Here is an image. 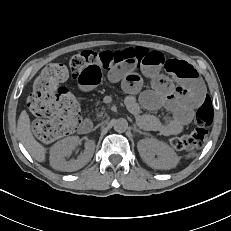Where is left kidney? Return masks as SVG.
<instances>
[{
    "label": "left kidney",
    "mask_w": 231,
    "mask_h": 231,
    "mask_svg": "<svg viewBox=\"0 0 231 231\" xmlns=\"http://www.w3.org/2000/svg\"><path fill=\"white\" fill-rule=\"evenodd\" d=\"M137 148L143 161L153 169H171L179 162L175 151L157 139H142L138 142Z\"/></svg>",
    "instance_id": "1"
}]
</instances>
